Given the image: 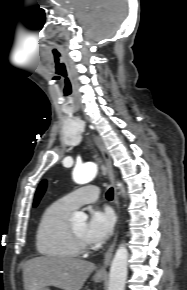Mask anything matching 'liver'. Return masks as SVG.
Segmentation results:
<instances>
[{
    "label": "liver",
    "mask_w": 187,
    "mask_h": 290,
    "mask_svg": "<svg viewBox=\"0 0 187 290\" xmlns=\"http://www.w3.org/2000/svg\"><path fill=\"white\" fill-rule=\"evenodd\" d=\"M95 264L71 257L40 256L23 265L25 290H42L54 286L62 290H80Z\"/></svg>",
    "instance_id": "1"
}]
</instances>
